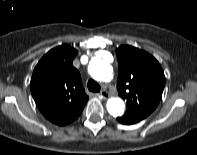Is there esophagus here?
Wrapping results in <instances>:
<instances>
[{
  "instance_id": "1",
  "label": "esophagus",
  "mask_w": 197,
  "mask_h": 155,
  "mask_svg": "<svg viewBox=\"0 0 197 155\" xmlns=\"http://www.w3.org/2000/svg\"><path fill=\"white\" fill-rule=\"evenodd\" d=\"M100 97H101L102 99H108V98L110 97V95H109V93H108L106 90H102V91L100 92Z\"/></svg>"
}]
</instances>
